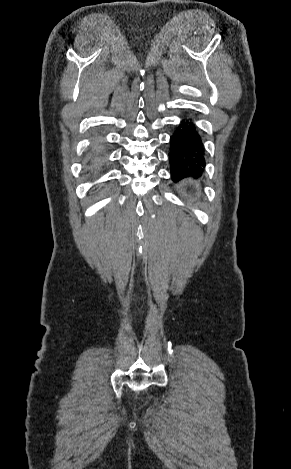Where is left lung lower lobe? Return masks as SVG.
<instances>
[{
  "mask_svg": "<svg viewBox=\"0 0 291 469\" xmlns=\"http://www.w3.org/2000/svg\"><path fill=\"white\" fill-rule=\"evenodd\" d=\"M169 161L173 181L199 177L205 167V149L196 126L184 119L170 138Z\"/></svg>",
  "mask_w": 291,
  "mask_h": 469,
  "instance_id": "obj_1",
  "label": "left lung lower lobe"
}]
</instances>
